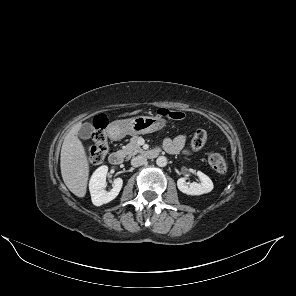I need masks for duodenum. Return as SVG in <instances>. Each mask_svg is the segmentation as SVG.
Here are the masks:
<instances>
[{"label":"duodenum","mask_w":296,"mask_h":296,"mask_svg":"<svg viewBox=\"0 0 296 296\" xmlns=\"http://www.w3.org/2000/svg\"><path fill=\"white\" fill-rule=\"evenodd\" d=\"M109 135L112 139H118L120 136V131L117 129L111 128L109 131ZM158 153L159 151L157 149L149 150L147 151V156L149 158H155L157 157ZM122 161H123V154L119 151L112 152L109 155V162L112 165H115V166L120 165Z\"/></svg>","instance_id":"410a0bca"}]
</instances>
